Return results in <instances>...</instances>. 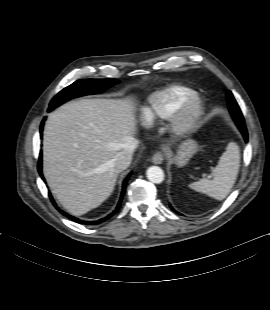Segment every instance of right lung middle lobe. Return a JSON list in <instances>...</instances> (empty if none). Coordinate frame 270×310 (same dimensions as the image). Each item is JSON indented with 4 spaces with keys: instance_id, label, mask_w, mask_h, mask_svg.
<instances>
[{
    "instance_id": "right-lung-middle-lobe-1",
    "label": "right lung middle lobe",
    "mask_w": 270,
    "mask_h": 310,
    "mask_svg": "<svg viewBox=\"0 0 270 310\" xmlns=\"http://www.w3.org/2000/svg\"><path fill=\"white\" fill-rule=\"evenodd\" d=\"M117 79H84L78 80L60 91L51 101L48 111L53 110L62 103L82 95L96 94L117 84Z\"/></svg>"
}]
</instances>
